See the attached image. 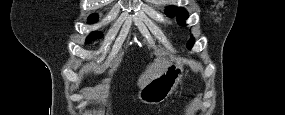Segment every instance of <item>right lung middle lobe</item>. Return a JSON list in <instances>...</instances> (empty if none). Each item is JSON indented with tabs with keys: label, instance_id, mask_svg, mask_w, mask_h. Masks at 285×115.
Listing matches in <instances>:
<instances>
[{
	"label": "right lung middle lobe",
	"instance_id": "dd1d6c3e",
	"mask_svg": "<svg viewBox=\"0 0 285 115\" xmlns=\"http://www.w3.org/2000/svg\"><path fill=\"white\" fill-rule=\"evenodd\" d=\"M97 20V15L96 14H93L89 17V21L90 23H93ZM102 33L101 32H92L86 39V42H89V41H93L95 39H99V38H102Z\"/></svg>",
	"mask_w": 285,
	"mask_h": 115
}]
</instances>
